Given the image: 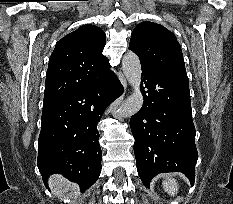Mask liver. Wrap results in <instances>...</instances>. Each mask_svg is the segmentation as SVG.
I'll list each match as a JSON object with an SVG mask.
<instances>
[{"mask_svg":"<svg viewBox=\"0 0 233 204\" xmlns=\"http://www.w3.org/2000/svg\"><path fill=\"white\" fill-rule=\"evenodd\" d=\"M49 181L56 192H64L70 188V183L60 175H53Z\"/></svg>","mask_w":233,"mask_h":204,"instance_id":"6515ba94","label":"liver"}]
</instances>
